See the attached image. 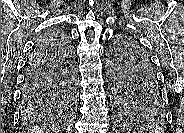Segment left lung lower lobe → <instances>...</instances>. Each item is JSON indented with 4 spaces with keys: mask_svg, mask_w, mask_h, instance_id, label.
<instances>
[{
    "mask_svg": "<svg viewBox=\"0 0 184 133\" xmlns=\"http://www.w3.org/2000/svg\"><path fill=\"white\" fill-rule=\"evenodd\" d=\"M156 77H154V79H153V86L151 87L153 90H154V92L157 94V96L158 97H162V94H161V89H160V86H159V84L157 85L156 84ZM128 120L129 121H131L132 123H134V121L131 119V118H128ZM162 125H159V127H161ZM151 128H155V127H151Z\"/></svg>",
    "mask_w": 184,
    "mask_h": 133,
    "instance_id": "1",
    "label": "left lung lower lobe"
}]
</instances>
